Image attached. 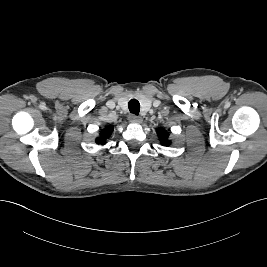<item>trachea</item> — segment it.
I'll list each match as a JSON object with an SVG mask.
<instances>
[{
    "label": "trachea",
    "mask_w": 267,
    "mask_h": 267,
    "mask_svg": "<svg viewBox=\"0 0 267 267\" xmlns=\"http://www.w3.org/2000/svg\"><path fill=\"white\" fill-rule=\"evenodd\" d=\"M128 108L130 110L131 113L138 115L140 112V103L138 100L136 99H131L128 102Z\"/></svg>",
    "instance_id": "3493384b"
}]
</instances>
